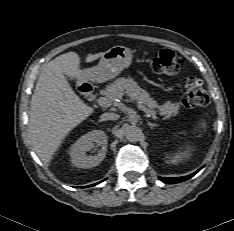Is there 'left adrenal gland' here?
<instances>
[{"label":"left adrenal gland","mask_w":234,"mask_h":231,"mask_svg":"<svg viewBox=\"0 0 234 231\" xmlns=\"http://www.w3.org/2000/svg\"><path fill=\"white\" fill-rule=\"evenodd\" d=\"M147 124L150 126V129H153L154 127H158V125L157 124H153V123H151V122H147Z\"/></svg>","instance_id":"obj_1"}]
</instances>
